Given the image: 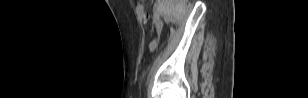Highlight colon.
Segmentation results:
<instances>
[{
    "label": "colon",
    "instance_id": "1",
    "mask_svg": "<svg viewBox=\"0 0 308 98\" xmlns=\"http://www.w3.org/2000/svg\"><path fill=\"white\" fill-rule=\"evenodd\" d=\"M136 9H137V13H138L139 18L141 19V21L146 23L148 21V19H149V15H148V13L145 10L144 3L143 2H138L137 6H136Z\"/></svg>",
    "mask_w": 308,
    "mask_h": 98
}]
</instances>
